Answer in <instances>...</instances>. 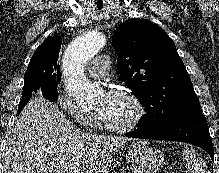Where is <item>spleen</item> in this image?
<instances>
[{
    "label": "spleen",
    "instance_id": "1",
    "mask_svg": "<svg viewBox=\"0 0 219 173\" xmlns=\"http://www.w3.org/2000/svg\"><path fill=\"white\" fill-rule=\"evenodd\" d=\"M184 161L191 173H207L205 165L199 162L194 150L186 149L183 151Z\"/></svg>",
    "mask_w": 219,
    "mask_h": 173
}]
</instances>
